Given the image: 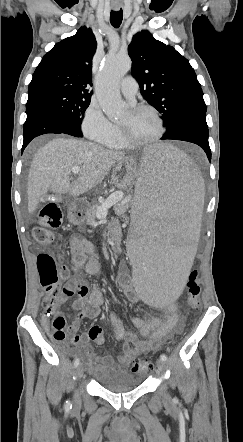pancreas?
<instances>
[{
	"instance_id": "cf45deb5",
	"label": "pancreas",
	"mask_w": 243,
	"mask_h": 442,
	"mask_svg": "<svg viewBox=\"0 0 243 442\" xmlns=\"http://www.w3.org/2000/svg\"><path fill=\"white\" fill-rule=\"evenodd\" d=\"M107 199H108V198H107ZM107 199H106V200H107ZM106 200H105V201H106ZM104 203H105V202H103L102 204H104ZM102 204H100V203H98V204H94V205H92V206L88 209V211H87V218H86L88 224H90L93 220H95V218H97V217H96V212H97L98 208H99L100 206H102ZM128 207H129V203H128L127 201L117 202V203L114 205V210H115V213H116L117 215H121V214H123L124 212L127 211Z\"/></svg>"
}]
</instances>
